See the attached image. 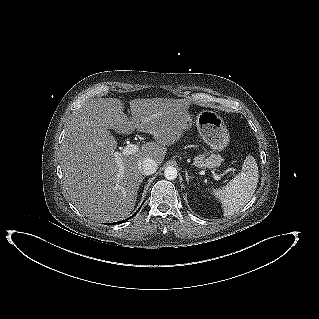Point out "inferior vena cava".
<instances>
[{
    "mask_svg": "<svg viewBox=\"0 0 319 319\" xmlns=\"http://www.w3.org/2000/svg\"><path fill=\"white\" fill-rule=\"evenodd\" d=\"M157 163L151 158H144L139 162V170L143 175H151L157 171Z\"/></svg>",
    "mask_w": 319,
    "mask_h": 319,
    "instance_id": "1",
    "label": "inferior vena cava"
}]
</instances>
